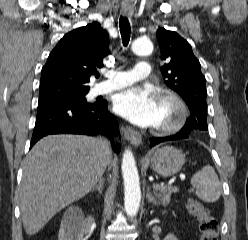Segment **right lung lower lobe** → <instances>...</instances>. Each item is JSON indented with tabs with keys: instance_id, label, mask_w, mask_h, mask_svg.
<instances>
[{
	"instance_id": "1",
	"label": "right lung lower lobe",
	"mask_w": 248,
	"mask_h": 240,
	"mask_svg": "<svg viewBox=\"0 0 248 240\" xmlns=\"http://www.w3.org/2000/svg\"><path fill=\"white\" fill-rule=\"evenodd\" d=\"M107 105L105 100L92 104L65 99L39 102L30 148L39 139L50 134L102 133L113 138L117 135L118 123L108 112ZM111 141L113 142L112 139ZM112 148L119 153L121 145L113 143Z\"/></svg>"
}]
</instances>
